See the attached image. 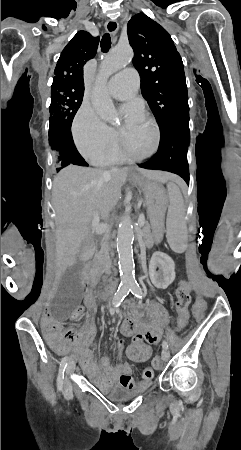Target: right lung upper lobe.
Here are the masks:
<instances>
[{"instance_id":"right-lung-upper-lobe-1","label":"right lung upper lobe","mask_w":241,"mask_h":450,"mask_svg":"<svg viewBox=\"0 0 241 450\" xmlns=\"http://www.w3.org/2000/svg\"><path fill=\"white\" fill-rule=\"evenodd\" d=\"M99 37L79 31L63 49L57 62L53 84L84 88L83 66L96 54ZM52 84V85H53Z\"/></svg>"}]
</instances>
